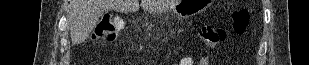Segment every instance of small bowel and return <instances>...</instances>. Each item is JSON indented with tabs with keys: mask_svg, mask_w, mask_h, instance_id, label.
I'll return each instance as SVG.
<instances>
[{
	"mask_svg": "<svg viewBox=\"0 0 309 65\" xmlns=\"http://www.w3.org/2000/svg\"><path fill=\"white\" fill-rule=\"evenodd\" d=\"M194 61L191 57H184L174 65H193ZM198 65H209V59L207 56H203L199 59Z\"/></svg>",
	"mask_w": 309,
	"mask_h": 65,
	"instance_id": "1",
	"label": "small bowel"
}]
</instances>
